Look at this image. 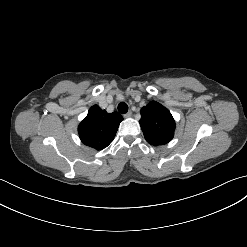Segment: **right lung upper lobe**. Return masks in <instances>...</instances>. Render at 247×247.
<instances>
[{
    "label": "right lung upper lobe",
    "mask_w": 247,
    "mask_h": 247,
    "mask_svg": "<svg viewBox=\"0 0 247 247\" xmlns=\"http://www.w3.org/2000/svg\"><path fill=\"white\" fill-rule=\"evenodd\" d=\"M122 120L117 112L107 113L98 105L92 106L78 126L82 143L96 150L104 149L113 141Z\"/></svg>",
    "instance_id": "1"
}]
</instances>
